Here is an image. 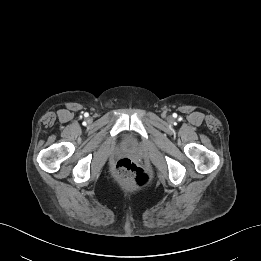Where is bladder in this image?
<instances>
[{
    "mask_svg": "<svg viewBox=\"0 0 261 261\" xmlns=\"http://www.w3.org/2000/svg\"><path fill=\"white\" fill-rule=\"evenodd\" d=\"M125 144H126L127 146H131V145L133 144L132 139H131V138H126V139H125Z\"/></svg>",
    "mask_w": 261,
    "mask_h": 261,
    "instance_id": "obj_1",
    "label": "bladder"
}]
</instances>
